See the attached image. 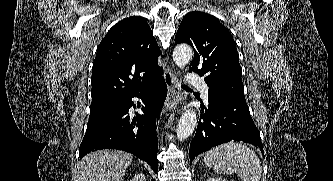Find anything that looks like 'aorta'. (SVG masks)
<instances>
[{
	"label": "aorta",
	"mask_w": 333,
	"mask_h": 181,
	"mask_svg": "<svg viewBox=\"0 0 333 181\" xmlns=\"http://www.w3.org/2000/svg\"><path fill=\"white\" fill-rule=\"evenodd\" d=\"M193 51L188 45L181 44L178 45L173 51V60L175 64L183 68L192 59ZM197 124V114L194 110L185 111L177 125V138L179 140H184L188 138L194 131Z\"/></svg>",
	"instance_id": "obj_1"
}]
</instances>
